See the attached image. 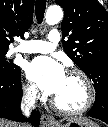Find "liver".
Returning a JSON list of instances; mask_svg holds the SVG:
<instances>
[{
    "mask_svg": "<svg viewBox=\"0 0 108 127\" xmlns=\"http://www.w3.org/2000/svg\"><path fill=\"white\" fill-rule=\"evenodd\" d=\"M70 121H78L81 123L93 124V125L95 124L92 121L88 120L87 118H75V119H71ZM0 127H23V126H22V124H18L15 122H11L8 120L1 119L0 120Z\"/></svg>",
    "mask_w": 108,
    "mask_h": 127,
    "instance_id": "obj_1",
    "label": "liver"
}]
</instances>
